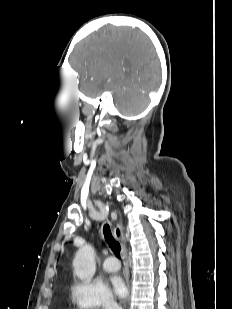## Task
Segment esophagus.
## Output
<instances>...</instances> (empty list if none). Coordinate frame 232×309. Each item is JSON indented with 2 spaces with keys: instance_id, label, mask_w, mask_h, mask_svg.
<instances>
[{
  "instance_id": "1",
  "label": "esophagus",
  "mask_w": 232,
  "mask_h": 309,
  "mask_svg": "<svg viewBox=\"0 0 232 309\" xmlns=\"http://www.w3.org/2000/svg\"><path fill=\"white\" fill-rule=\"evenodd\" d=\"M114 235L117 239L120 240L121 245H122V256L124 259V263H125V270H126V274H127V280L129 279V264H128V260H127V249H126V244H125V240H124V234L122 231V228L120 225H116L114 228ZM128 287H129V283H128Z\"/></svg>"
}]
</instances>
